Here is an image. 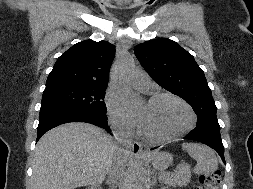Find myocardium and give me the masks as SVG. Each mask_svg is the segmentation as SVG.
<instances>
[{
  "label": "myocardium",
  "mask_w": 253,
  "mask_h": 189,
  "mask_svg": "<svg viewBox=\"0 0 253 189\" xmlns=\"http://www.w3.org/2000/svg\"><path fill=\"white\" fill-rule=\"evenodd\" d=\"M161 99H170V100H173V101L179 103L180 105H182L188 112L189 121L183 128H181L177 132H175L171 135H168V136H155V135L147 133L146 131H144L140 127L139 130L144 137H146L149 140L156 141V142H167V141H171V140H174L178 137L183 136L184 134H186L187 132H189L190 130H192L195 127L196 114H195L194 110L192 109V107L184 99H182L181 97H179L175 94L169 93V92H162V93H156V94L152 95L149 98L148 103H154V102H157Z\"/></svg>",
  "instance_id": "1"
}]
</instances>
